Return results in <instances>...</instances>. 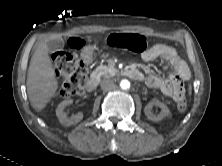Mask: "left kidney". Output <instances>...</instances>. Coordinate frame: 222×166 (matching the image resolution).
I'll list each match as a JSON object with an SVG mask.
<instances>
[{"instance_id":"5707ae66","label":"left kidney","mask_w":222,"mask_h":166,"mask_svg":"<svg viewBox=\"0 0 222 166\" xmlns=\"http://www.w3.org/2000/svg\"><path fill=\"white\" fill-rule=\"evenodd\" d=\"M153 105L159 106L161 108V112L158 115H155L151 112ZM144 113H145L147 119L157 122V121H160L163 118L169 116L170 110L168 109V107L164 103L159 102L158 100H152L150 103H148L145 106Z\"/></svg>"}]
</instances>
